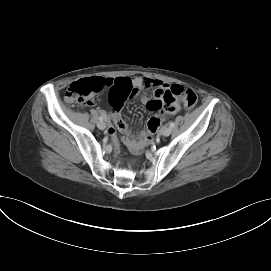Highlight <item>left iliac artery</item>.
Segmentation results:
<instances>
[{"instance_id":"left-iliac-artery-1","label":"left iliac artery","mask_w":271,"mask_h":271,"mask_svg":"<svg viewBox=\"0 0 271 271\" xmlns=\"http://www.w3.org/2000/svg\"><path fill=\"white\" fill-rule=\"evenodd\" d=\"M175 123L174 122H170V128H174Z\"/></svg>"}]
</instances>
